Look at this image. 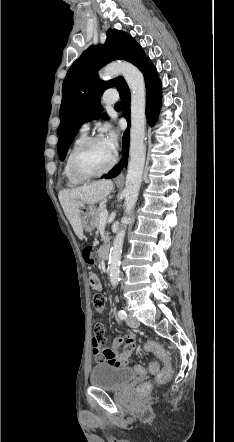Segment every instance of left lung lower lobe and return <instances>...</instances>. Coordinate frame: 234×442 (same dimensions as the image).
<instances>
[{"label": "left lung lower lobe", "instance_id": "obj_1", "mask_svg": "<svg viewBox=\"0 0 234 442\" xmlns=\"http://www.w3.org/2000/svg\"><path fill=\"white\" fill-rule=\"evenodd\" d=\"M140 71L143 72L146 83V116L150 125H153L157 119V114L161 105V82L158 78L155 67L151 60L147 58ZM120 98L123 101L124 108L122 115L130 123V91L126 85L120 90ZM122 160L103 178L116 177L127 164L129 150V127L124 132L122 138Z\"/></svg>", "mask_w": 234, "mask_h": 442}]
</instances>
